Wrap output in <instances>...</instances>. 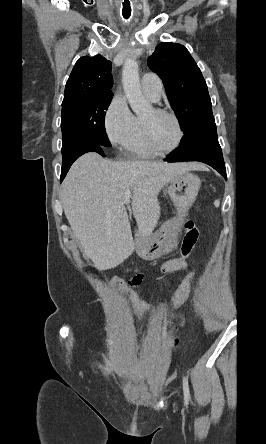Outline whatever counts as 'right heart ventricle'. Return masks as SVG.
<instances>
[{
	"mask_svg": "<svg viewBox=\"0 0 266 444\" xmlns=\"http://www.w3.org/2000/svg\"><path fill=\"white\" fill-rule=\"evenodd\" d=\"M142 118L134 116L130 135L123 145L124 154L131 158L148 159L158 154L153 152L146 144L142 132Z\"/></svg>",
	"mask_w": 266,
	"mask_h": 444,
	"instance_id": "1",
	"label": "right heart ventricle"
}]
</instances>
